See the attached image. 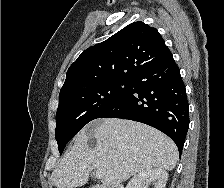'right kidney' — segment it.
<instances>
[{
    "mask_svg": "<svg viewBox=\"0 0 224 188\" xmlns=\"http://www.w3.org/2000/svg\"><path fill=\"white\" fill-rule=\"evenodd\" d=\"M167 180L168 173L164 169L154 168L134 175L126 188H149L151 184L154 188H165Z\"/></svg>",
    "mask_w": 224,
    "mask_h": 188,
    "instance_id": "1",
    "label": "right kidney"
}]
</instances>
